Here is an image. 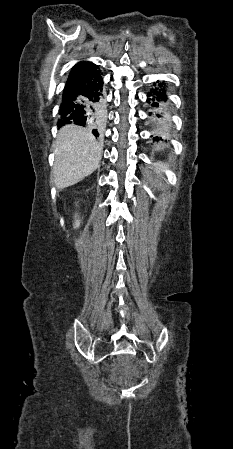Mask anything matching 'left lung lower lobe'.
<instances>
[{"mask_svg":"<svg viewBox=\"0 0 233 449\" xmlns=\"http://www.w3.org/2000/svg\"><path fill=\"white\" fill-rule=\"evenodd\" d=\"M147 97H148L147 103H149L156 110V111L150 112L149 116H151L153 114L157 118L160 119L162 117V113L160 111H158V109L161 107V104L167 100L166 90L164 88V82L159 83V81H158V86L155 87L153 90H151L147 94ZM154 140H158L157 137H155Z\"/></svg>","mask_w":233,"mask_h":449,"instance_id":"obj_1","label":"left lung lower lobe"}]
</instances>
